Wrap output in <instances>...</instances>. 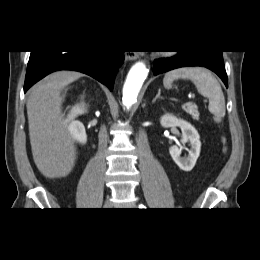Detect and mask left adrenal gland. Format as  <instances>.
I'll return each instance as SVG.
<instances>
[{
	"instance_id": "left-adrenal-gland-1",
	"label": "left adrenal gland",
	"mask_w": 260,
	"mask_h": 260,
	"mask_svg": "<svg viewBox=\"0 0 260 260\" xmlns=\"http://www.w3.org/2000/svg\"><path fill=\"white\" fill-rule=\"evenodd\" d=\"M160 92L161 90L159 89L156 97L152 100V103H154L157 99H162V97L160 96Z\"/></svg>"
}]
</instances>
